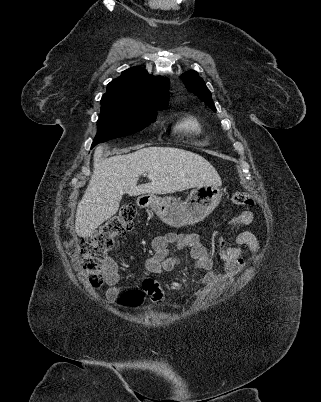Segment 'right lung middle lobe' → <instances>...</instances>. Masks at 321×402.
Returning <instances> with one entry per match:
<instances>
[{
    "label": "right lung middle lobe",
    "mask_w": 321,
    "mask_h": 402,
    "mask_svg": "<svg viewBox=\"0 0 321 402\" xmlns=\"http://www.w3.org/2000/svg\"><path fill=\"white\" fill-rule=\"evenodd\" d=\"M164 109L166 106H141L123 101L101 99L97 134L92 146L144 129L156 120L157 111Z\"/></svg>",
    "instance_id": "obj_1"
}]
</instances>
